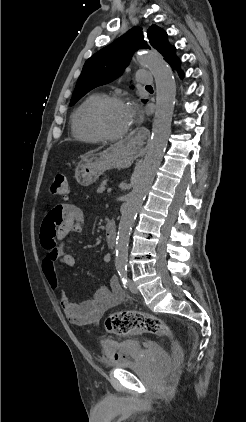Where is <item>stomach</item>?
I'll return each instance as SVG.
<instances>
[{
	"label": "stomach",
	"instance_id": "obj_1",
	"mask_svg": "<svg viewBox=\"0 0 246 422\" xmlns=\"http://www.w3.org/2000/svg\"><path fill=\"white\" fill-rule=\"evenodd\" d=\"M135 152L126 142H118L102 152L83 158L75 170V179L81 186H90L100 175L112 168L128 167Z\"/></svg>",
	"mask_w": 246,
	"mask_h": 422
}]
</instances>
